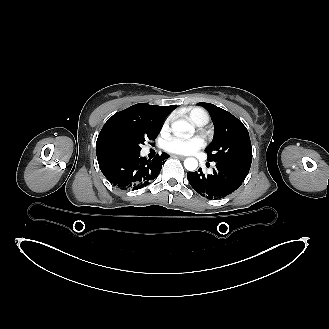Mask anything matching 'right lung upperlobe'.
<instances>
[{
    "label": "right lung upper lobe",
    "mask_w": 329,
    "mask_h": 329,
    "mask_svg": "<svg viewBox=\"0 0 329 329\" xmlns=\"http://www.w3.org/2000/svg\"><path fill=\"white\" fill-rule=\"evenodd\" d=\"M176 106H152L135 104L115 113L103 126L96 142L97 159L125 153L121 142L140 134H147L161 127L164 119Z\"/></svg>",
    "instance_id": "obj_1"
}]
</instances>
